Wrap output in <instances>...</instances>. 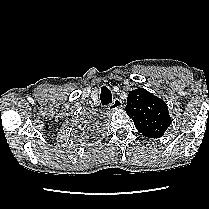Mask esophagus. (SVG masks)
Instances as JSON below:
<instances>
[{
  "instance_id": "1",
  "label": "esophagus",
  "mask_w": 209,
  "mask_h": 209,
  "mask_svg": "<svg viewBox=\"0 0 209 209\" xmlns=\"http://www.w3.org/2000/svg\"><path fill=\"white\" fill-rule=\"evenodd\" d=\"M122 107V102L120 99L115 98L113 102L109 105V110H115Z\"/></svg>"
}]
</instances>
